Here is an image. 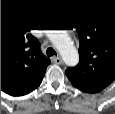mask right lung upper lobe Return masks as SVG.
<instances>
[{
  "label": "right lung upper lobe",
  "instance_id": "1",
  "mask_svg": "<svg viewBox=\"0 0 115 114\" xmlns=\"http://www.w3.org/2000/svg\"><path fill=\"white\" fill-rule=\"evenodd\" d=\"M28 30L23 23L1 21V90L12 96L36 89L51 62Z\"/></svg>",
  "mask_w": 115,
  "mask_h": 114
}]
</instances>
